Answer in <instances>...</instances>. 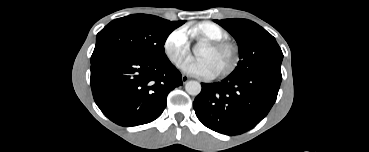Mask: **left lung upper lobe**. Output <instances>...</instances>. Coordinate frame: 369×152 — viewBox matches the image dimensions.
I'll return each mask as SVG.
<instances>
[{"label":"left lung upper lobe","instance_id":"5c2ea615","mask_svg":"<svg viewBox=\"0 0 369 152\" xmlns=\"http://www.w3.org/2000/svg\"><path fill=\"white\" fill-rule=\"evenodd\" d=\"M237 41L240 61L235 75L269 73L281 76L283 54L275 38L253 21L246 19L214 20Z\"/></svg>","mask_w":369,"mask_h":152}]
</instances>
